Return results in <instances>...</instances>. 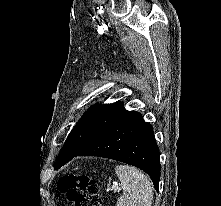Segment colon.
I'll use <instances>...</instances> for the list:
<instances>
[{"label": "colon", "mask_w": 221, "mask_h": 206, "mask_svg": "<svg viewBox=\"0 0 221 206\" xmlns=\"http://www.w3.org/2000/svg\"><path fill=\"white\" fill-rule=\"evenodd\" d=\"M58 188L72 206H101V194L96 181L85 174L70 173L63 176Z\"/></svg>", "instance_id": "colon-1"}]
</instances>
